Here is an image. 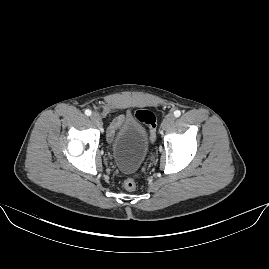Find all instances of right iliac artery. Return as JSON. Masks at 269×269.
Here are the masks:
<instances>
[{
  "instance_id": "82829eb1",
  "label": "right iliac artery",
  "mask_w": 269,
  "mask_h": 269,
  "mask_svg": "<svg viewBox=\"0 0 269 269\" xmlns=\"http://www.w3.org/2000/svg\"><path fill=\"white\" fill-rule=\"evenodd\" d=\"M85 114H86L87 116H90V115H91V111H90V110H86V111H85Z\"/></svg>"
}]
</instances>
